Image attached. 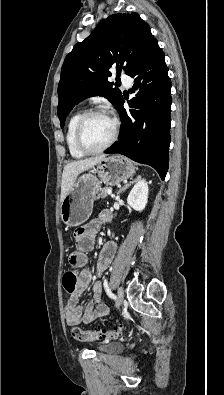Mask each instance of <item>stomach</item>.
<instances>
[{"label":"stomach","instance_id":"obj_1","mask_svg":"<svg viewBox=\"0 0 224 395\" xmlns=\"http://www.w3.org/2000/svg\"><path fill=\"white\" fill-rule=\"evenodd\" d=\"M94 171L97 176L90 172L82 174L61 202L60 215L65 225L75 227L88 220L102 182L117 185L135 173L131 161L121 155L102 159Z\"/></svg>","mask_w":224,"mask_h":395}]
</instances>
